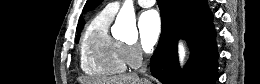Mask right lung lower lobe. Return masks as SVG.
Wrapping results in <instances>:
<instances>
[{
    "mask_svg": "<svg viewBox=\"0 0 260 84\" xmlns=\"http://www.w3.org/2000/svg\"><path fill=\"white\" fill-rule=\"evenodd\" d=\"M162 32L150 60L152 75L163 84H214L217 78L216 32L206 0H157ZM184 37L191 50L183 72L177 40Z\"/></svg>",
    "mask_w": 260,
    "mask_h": 84,
    "instance_id": "right-lung-lower-lobe-1",
    "label": "right lung lower lobe"
}]
</instances>
